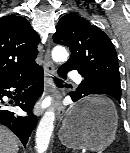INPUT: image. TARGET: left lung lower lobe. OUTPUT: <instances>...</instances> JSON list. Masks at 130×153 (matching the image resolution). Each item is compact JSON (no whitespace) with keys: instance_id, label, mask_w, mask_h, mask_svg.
I'll list each match as a JSON object with an SVG mask.
<instances>
[{"instance_id":"left-lung-lower-lobe-1","label":"left lung lower lobe","mask_w":130,"mask_h":153,"mask_svg":"<svg viewBox=\"0 0 130 153\" xmlns=\"http://www.w3.org/2000/svg\"><path fill=\"white\" fill-rule=\"evenodd\" d=\"M71 70H74V69L66 68V67H60L58 69V74L61 77H66V73L71 71ZM78 72L82 75L84 80L80 84V89L82 90L81 94L73 95L72 93H70V96H71V98L74 102H76L77 100L81 99L84 96L91 95V94H105V95H108L101 87L92 83V81L90 80V76H88L87 74L82 73L80 71H78ZM117 101L120 102L119 100H117Z\"/></svg>"}]
</instances>
